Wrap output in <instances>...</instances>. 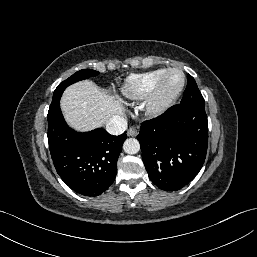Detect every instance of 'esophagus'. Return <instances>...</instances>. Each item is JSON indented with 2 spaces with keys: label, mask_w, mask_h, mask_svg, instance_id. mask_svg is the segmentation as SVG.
Wrapping results in <instances>:
<instances>
[{
  "label": "esophagus",
  "mask_w": 257,
  "mask_h": 257,
  "mask_svg": "<svg viewBox=\"0 0 257 257\" xmlns=\"http://www.w3.org/2000/svg\"><path fill=\"white\" fill-rule=\"evenodd\" d=\"M138 134V130L135 127H131L127 131V135L131 137H135Z\"/></svg>",
  "instance_id": "obj_1"
}]
</instances>
